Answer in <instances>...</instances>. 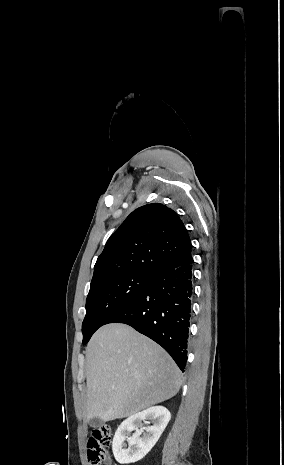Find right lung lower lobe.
<instances>
[{
    "mask_svg": "<svg viewBox=\"0 0 284 465\" xmlns=\"http://www.w3.org/2000/svg\"><path fill=\"white\" fill-rule=\"evenodd\" d=\"M191 250L161 269L108 323H124L161 345L183 371L190 342L193 300Z\"/></svg>",
    "mask_w": 284,
    "mask_h": 465,
    "instance_id": "1",
    "label": "right lung lower lobe"
}]
</instances>
